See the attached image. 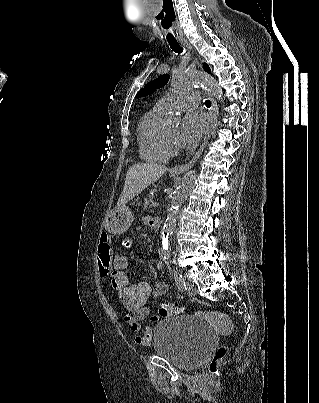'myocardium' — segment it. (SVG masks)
I'll return each mask as SVG.
<instances>
[{
  "label": "myocardium",
  "mask_w": 319,
  "mask_h": 403,
  "mask_svg": "<svg viewBox=\"0 0 319 403\" xmlns=\"http://www.w3.org/2000/svg\"><path fill=\"white\" fill-rule=\"evenodd\" d=\"M163 141L169 155H177L179 153L177 144L169 138L165 129L163 130Z\"/></svg>",
  "instance_id": "myocardium-1"
}]
</instances>
